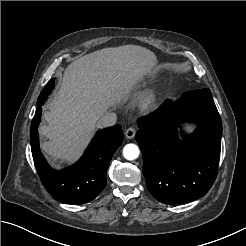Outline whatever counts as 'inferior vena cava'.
I'll return each instance as SVG.
<instances>
[{"instance_id":"inferior-vena-cava-1","label":"inferior vena cava","mask_w":246,"mask_h":246,"mask_svg":"<svg viewBox=\"0 0 246 246\" xmlns=\"http://www.w3.org/2000/svg\"><path fill=\"white\" fill-rule=\"evenodd\" d=\"M116 120L117 116L115 113H106L99 118L97 125L98 127H110L115 125Z\"/></svg>"}]
</instances>
